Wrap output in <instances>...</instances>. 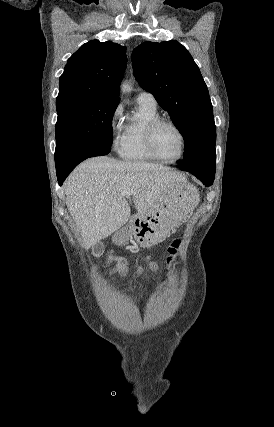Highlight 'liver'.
<instances>
[{
  "instance_id": "6515ba94",
  "label": "liver",
  "mask_w": 274,
  "mask_h": 427,
  "mask_svg": "<svg viewBox=\"0 0 274 427\" xmlns=\"http://www.w3.org/2000/svg\"><path fill=\"white\" fill-rule=\"evenodd\" d=\"M187 184L185 176L161 164L118 162L99 156L79 164L64 182L66 206L91 247L127 223L131 212L122 192L130 190L138 214H147L161 202H170L175 190Z\"/></svg>"
}]
</instances>
